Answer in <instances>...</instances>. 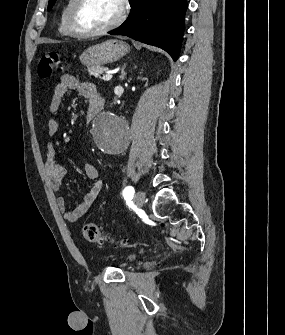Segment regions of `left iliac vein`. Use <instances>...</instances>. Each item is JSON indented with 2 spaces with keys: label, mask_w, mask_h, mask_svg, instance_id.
Listing matches in <instances>:
<instances>
[{
  "label": "left iliac vein",
  "mask_w": 285,
  "mask_h": 335,
  "mask_svg": "<svg viewBox=\"0 0 285 335\" xmlns=\"http://www.w3.org/2000/svg\"><path fill=\"white\" fill-rule=\"evenodd\" d=\"M145 202V193L143 191H138L134 196V203L138 207H143Z\"/></svg>",
  "instance_id": "left-iliac-vein-1"
}]
</instances>
